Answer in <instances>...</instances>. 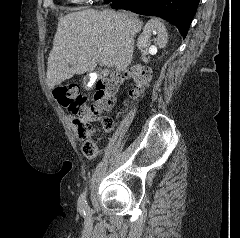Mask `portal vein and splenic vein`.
<instances>
[{"label":"portal vein and splenic vein","mask_w":240,"mask_h":238,"mask_svg":"<svg viewBox=\"0 0 240 238\" xmlns=\"http://www.w3.org/2000/svg\"><path fill=\"white\" fill-rule=\"evenodd\" d=\"M98 57L105 66H108V67L113 66V63L109 61L107 58H105L101 52L98 53Z\"/></svg>","instance_id":"18ae733b"}]
</instances>
